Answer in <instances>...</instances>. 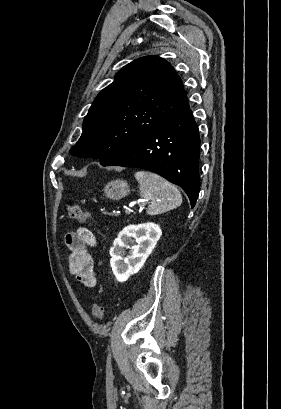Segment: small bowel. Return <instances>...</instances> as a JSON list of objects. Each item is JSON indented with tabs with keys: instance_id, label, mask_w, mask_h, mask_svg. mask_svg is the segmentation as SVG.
<instances>
[{
	"instance_id": "obj_1",
	"label": "small bowel",
	"mask_w": 281,
	"mask_h": 409,
	"mask_svg": "<svg viewBox=\"0 0 281 409\" xmlns=\"http://www.w3.org/2000/svg\"><path fill=\"white\" fill-rule=\"evenodd\" d=\"M65 242L69 248V272L86 287H94L97 283L95 258L90 248L96 245L95 235L85 227L66 234Z\"/></svg>"
}]
</instances>
